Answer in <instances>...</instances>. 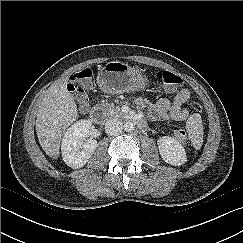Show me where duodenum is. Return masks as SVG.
I'll return each instance as SVG.
<instances>
[{"label":"duodenum","mask_w":243,"mask_h":243,"mask_svg":"<svg viewBox=\"0 0 243 243\" xmlns=\"http://www.w3.org/2000/svg\"><path fill=\"white\" fill-rule=\"evenodd\" d=\"M88 118L92 121V122H99L102 120V116L99 113L98 110L93 109L89 112L88 114ZM129 121L134 122L136 124H138L141 128L145 127V121L143 119L142 116L140 115H132L128 118Z\"/></svg>","instance_id":"1"}]
</instances>
